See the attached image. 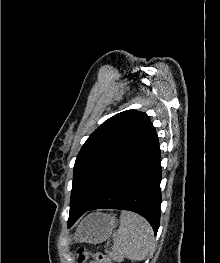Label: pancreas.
I'll list each match as a JSON object with an SVG mask.
<instances>
[{"mask_svg":"<svg viewBox=\"0 0 220 263\" xmlns=\"http://www.w3.org/2000/svg\"><path fill=\"white\" fill-rule=\"evenodd\" d=\"M117 254L115 253H110L109 256L112 257L113 259H118V257L116 256Z\"/></svg>","mask_w":220,"mask_h":263,"instance_id":"obj_1","label":"pancreas"}]
</instances>
